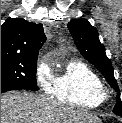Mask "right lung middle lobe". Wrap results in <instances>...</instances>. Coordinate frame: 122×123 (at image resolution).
<instances>
[{
  "mask_svg": "<svg viewBox=\"0 0 122 123\" xmlns=\"http://www.w3.org/2000/svg\"><path fill=\"white\" fill-rule=\"evenodd\" d=\"M36 62L37 56L1 55V86L39 90Z\"/></svg>",
  "mask_w": 122,
  "mask_h": 123,
  "instance_id": "dd1d6c3e",
  "label": "right lung middle lobe"
}]
</instances>
